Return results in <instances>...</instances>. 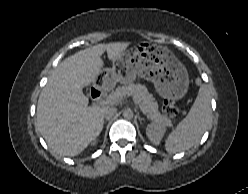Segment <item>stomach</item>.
I'll use <instances>...</instances> for the list:
<instances>
[{
  "instance_id": "1",
  "label": "stomach",
  "mask_w": 248,
  "mask_h": 194,
  "mask_svg": "<svg viewBox=\"0 0 248 194\" xmlns=\"http://www.w3.org/2000/svg\"><path fill=\"white\" fill-rule=\"evenodd\" d=\"M136 76L153 82L164 98H181L189 86L187 70L175 55L168 48L146 42L122 53L112 68L107 69L103 83L130 84Z\"/></svg>"
}]
</instances>
